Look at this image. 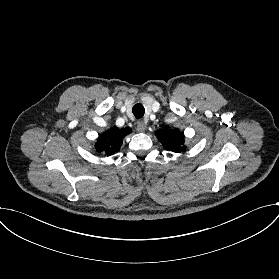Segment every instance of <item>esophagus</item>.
I'll return each instance as SVG.
<instances>
[{
    "instance_id": "1",
    "label": "esophagus",
    "mask_w": 279,
    "mask_h": 279,
    "mask_svg": "<svg viewBox=\"0 0 279 279\" xmlns=\"http://www.w3.org/2000/svg\"><path fill=\"white\" fill-rule=\"evenodd\" d=\"M147 125L146 123L144 122V120H138L137 121V130L139 132H144L145 129H146Z\"/></svg>"
}]
</instances>
